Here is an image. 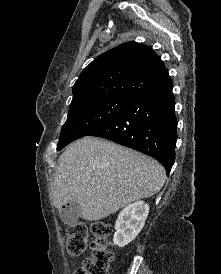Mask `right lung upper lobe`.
<instances>
[{
  "label": "right lung upper lobe",
  "mask_w": 221,
  "mask_h": 274,
  "mask_svg": "<svg viewBox=\"0 0 221 274\" xmlns=\"http://www.w3.org/2000/svg\"><path fill=\"white\" fill-rule=\"evenodd\" d=\"M168 72L152 48L123 43L93 60L73 86L72 101L97 97L135 98L162 81Z\"/></svg>",
  "instance_id": "right-lung-upper-lobe-1"
}]
</instances>
